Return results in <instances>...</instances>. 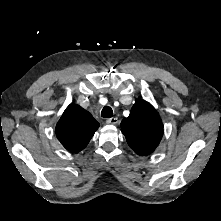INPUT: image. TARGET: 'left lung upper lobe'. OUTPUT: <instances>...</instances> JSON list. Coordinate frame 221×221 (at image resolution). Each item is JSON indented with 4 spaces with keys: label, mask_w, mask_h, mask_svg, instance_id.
I'll return each instance as SVG.
<instances>
[{
    "label": "left lung upper lobe",
    "mask_w": 221,
    "mask_h": 221,
    "mask_svg": "<svg viewBox=\"0 0 221 221\" xmlns=\"http://www.w3.org/2000/svg\"><path fill=\"white\" fill-rule=\"evenodd\" d=\"M121 131L128 145L138 154H151L161 141L163 125L154 107L140 100L131 109L129 117L121 122Z\"/></svg>",
    "instance_id": "5c2ea615"
}]
</instances>
